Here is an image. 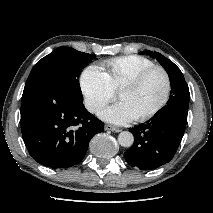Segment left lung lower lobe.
<instances>
[{"label":"left lung lower lobe","instance_id":"left-lung-lower-lobe-1","mask_svg":"<svg viewBox=\"0 0 213 213\" xmlns=\"http://www.w3.org/2000/svg\"><path fill=\"white\" fill-rule=\"evenodd\" d=\"M187 114L179 109L164 110L151 122L130 128L135 142L124 153L128 164L141 170H152L168 163L181 142Z\"/></svg>","mask_w":213,"mask_h":213}]
</instances>
